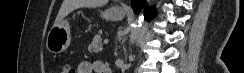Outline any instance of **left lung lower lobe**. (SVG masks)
I'll list each match as a JSON object with an SVG mask.
<instances>
[{
	"mask_svg": "<svg viewBox=\"0 0 244 73\" xmlns=\"http://www.w3.org/2000/svg\"><path fill=\"white\" fill-rule=\"evenodd\" d=\"M143 3L144 0H132V8L137 14L139 13ZM145 14H146L145 19L149 20L151 17L154 16V11L152 9L151 11H146Z\"/></svg>",
	"mask_w": 244,
	"mask_h": 73,
	"instance_id": "obj_1",
	"label": "left lung lower lobe"
}]
</instances>
